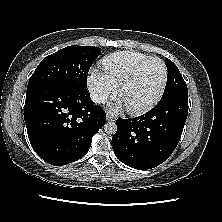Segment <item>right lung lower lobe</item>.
I'll use <instances>...</instances> for the list:
<instances>
[{"mask_svg": "<svg viewBox=\"0 0 222 222\" xmlns=\"http://www.w3.org/2000/svg\"><path fill=\"white\" fill-rule=\"evenodd\" d=\"M28 138L47 163L65 165L82 158L106 122L87 89L44 84L27 91L24 109Z\"/></svg>", "mask_w": 222, "mask_h": 222, "instance_id": "1", "label": "right lung lower lobe"}]
</instances>
